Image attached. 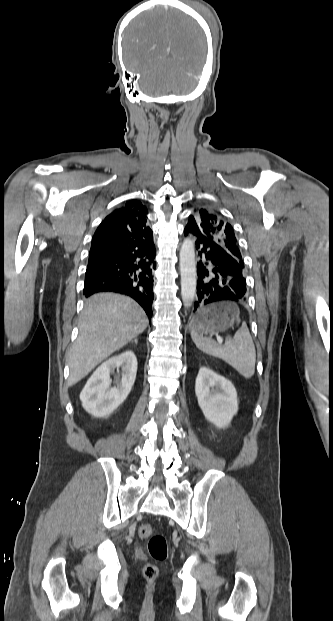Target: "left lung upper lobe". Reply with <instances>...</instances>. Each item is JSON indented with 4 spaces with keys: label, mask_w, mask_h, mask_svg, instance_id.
<instances>
[{
    "label": "left lung upper lobe",
    "mask_w": 333,
    "mask_h": 621,
    "mask_svg": "<svg viewBox=\"0 0 333 621\" xmlns=\"http://www.w3.org/2000/svg\"><path fill=\"white\" fill-rule=\"evenodd\" d=\"M186 227L197 229L214 240L244 267L234 230L221 215L210 209H195V214L189 216Z\"/></svg>",
    "instance_id": "left-lung-upper-lobe-1"
}]
</instances>
